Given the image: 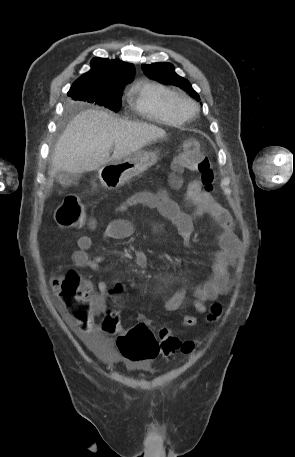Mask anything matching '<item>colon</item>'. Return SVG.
Masks as SVG:
<instances>
[{
    "mask_svg": "<svg viewBox=\"0 0 295 457\" xmlns=\"http://www.w3.org/2000/svg\"><path fill=\"white\" fill-rule=\"evenodd\" d=\"M176 173L196 171L200 174L203 189L213 191L214 173L207 156L201 151L196 139L186 140L173 161ZM174 186L180 185L179 177L172 180ZM86 220L84 206L75 195L65 197L56 211V221L64 228H79ZM55 291L67 314L75 319L87 320L92 309V295L90 287L75 272L68 271L55 279ZM221 306L213 304L207 315L209 321L216 320L221 314ZM102 329L113 332L116 329V320L107 314ZM117 355L123 361L149 362L160 360L174 362L179 355H191L194 350V341H179L162 330L160 341H157L153 332L145 322L138 323L127 333H122L116 344Z\"/></svg>",
    "mask_w": 295,
    "mask_h": 457,
    "instance_id": "5ec220e1",
    "label": "colon"
}]
</instances>
